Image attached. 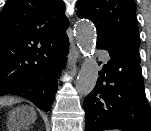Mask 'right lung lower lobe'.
Here are the masks:
<instances>
[{"mask_svg":"<svg viewBox=\"0 0 151 131\" xmlns=\"http://www.w3.org/2000/svg\"><path fill=\"white\" fill-rule=\"evenodd\" d=\"M68 37L54 45L47 53L44 65L34 74L18 81L3 95H17L47 112L55 98L57 78L65 66L68 54Z\"/></svg>","mask_w":151,"mask_h":131,"instance_id":"98d812e1","label":"right lung lower lobe"}]
</instances>
